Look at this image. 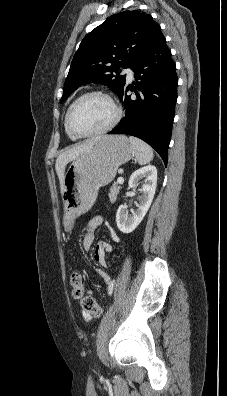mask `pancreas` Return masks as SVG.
I'll return each mask as SVG.
<instances>
[{
    "mask_svg": "<svg viewBox=\"0 0 227 396\" xmlns=\"http://www.w3.org/2000/svg\"><path fill=\"white\" fill-rule=\"evenodd\" d=\"M119 190H120V186H118L117 183H114V184L112 185V187H111V189H110V193H109V198H110V201H111L112 203L115 202V200H116V198H117V195H118V193H119Z\"/></svg>",
    "mask_w": 227,
    "mask_h": 396,
    "instance_id": "cf45deb5",
    "label": "pancreas"
}]
</instances>
